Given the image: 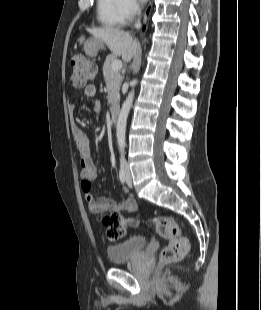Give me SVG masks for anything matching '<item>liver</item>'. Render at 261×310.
Returning <instances> with one entry per match:
<instances>
[{"label":"liver","mask_w":261,"mask_h":310,"mask_svg":"<svg viewBox=\"0 0 261 310\" xmlns=\"http://www.w3.org/2000/svg\"><path fill=\"white\" fill-rule=\"evenodd\" d=\"M88 32L105 43L113 55L121 56L125 62H130L137 52V42L126 31L107 27L88 29Z\"/></svg>","instance_id":"1"}]
</instances>
